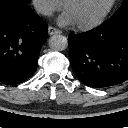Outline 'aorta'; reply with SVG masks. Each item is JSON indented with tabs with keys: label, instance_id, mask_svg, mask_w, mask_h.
<instances>
[{
	"label": "aorta",
	"instance_id": "obj_1",
	"mask_svg": "<svg viewBox=\"0 0 128 128\" xmlns=\"http://www.w3.org/2000/svg\"><path fill=\"white\" fill-rule=\"evenodd\" d=\"M49 47L55 51H63L68 47L67 38L63 35H53L49 38Z\"/></svg>",
	"mask_w": 128,
	"mask_h": 128
}]
</instances>
